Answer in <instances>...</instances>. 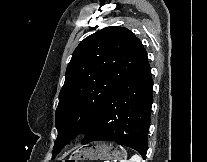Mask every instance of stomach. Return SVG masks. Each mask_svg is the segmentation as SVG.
Instances as JSON below:
<instances>
[{
    "label": "stomach",
    "instance_id": "stomach-1",
    "mask_svg": "<svg viewBox=\"0 0 207 162\" xmlns=\"http://www.w3.org/2000/svg\"><path fill=\"white\" fill-rule=\"evenodd\" d=\"M126 157L127 152L123 147L100 142L78 149L69 160H122Z\"/></svg>",
    "mask_w": 207,
    "mask_h": 162
}]
</instances>
